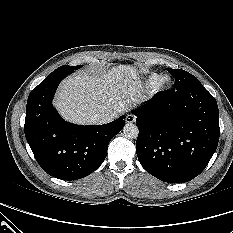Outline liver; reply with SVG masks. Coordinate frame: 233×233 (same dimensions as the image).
I'll list each match as a JSON object with an SVG mask.
<instances>
[{
    "label": "liver",
    "mask_w": 233,
    "mask_h": 233,
    "mask_svg": "<svg viewBox=\"0 0 233 233\" xmlns=\"http://www.w3.org/2000/svg\"><path fill=\"white\" fill-rule=\"evenodd\" d=\"M147 98L137 69L113 66L100 74L78 71L59 86L54 105L63 118L77 124H94L95 114L113 119Z\"/></svg>",
    "instance_id": "liver-1"
}]
</instances>
